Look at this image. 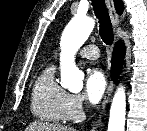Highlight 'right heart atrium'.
<instances>
[{"label":"right heart atrium","instance_id":"1","mask_svg":"<svg viewBox=\"0 0 147 131\" xmlns=\"http://www.w3.org/2000/svg\"><path fill=\"white\" fill-rule=\"evenodd\" d=\"M85 100L81 94L68 93L63 106L64 118L67 121H76L84 113Z\"/></svg>","mask_w":147,"mask_h":131}]
</instances>
